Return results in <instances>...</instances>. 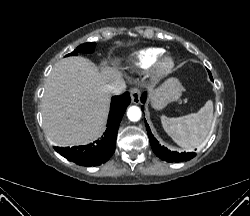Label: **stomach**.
<instances>
[{"label": "stomach", "instance_id": "0dacf381", "mask_svg": "<svg viewBox=\"0 0 250 216\" xmlns=\"http://www.w3.org/2000/svg\"><path fill=\"white\" fill-rule=\"evenodd\" d=\"M183 90L178 79H167L160 87L150 91V101L153 108L163 109L168 103L178 100Z\"/></svg>", "mask_w": 250, "mask_h": 216}]
</instances>
